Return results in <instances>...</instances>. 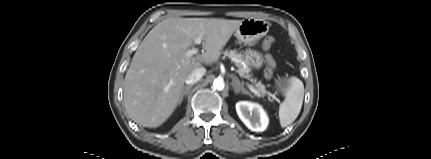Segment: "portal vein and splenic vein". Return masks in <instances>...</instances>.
I'll use <instances>...</instances> for the list:
<instances>
[{
  "mask_svg": "<svg viewBox=\"0 0 431 159\" xmlns=\"http://www.w3.org/2000/svg\"><path fill=\"white\" fill-rule=\"evenodd\" d=\"M195 44L196 45H200L201 43H202V36H199L198 38H196L195 39ZM198 48H192V49H188L187 50V52H186V55L188 56V57H191V56H193V55H195V54H197L198 53ZM249 89H250V91L251 92H253L255 95H258V90H256L254 87H252V86H249Z\"/></svg>",
  "mask_w": 431,
  "mask_h": 159,
  "instance_id": "obj_1",
  "label": "portal vein and splenic vein"
}]
</instances>
